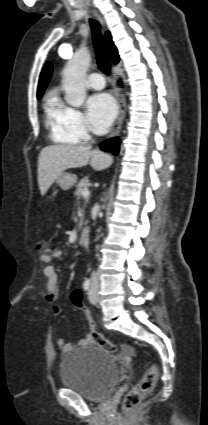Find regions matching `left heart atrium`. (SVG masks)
I'll return each mask as SVG.
<instances>
[{
  "instance_id": "left-heart-atrium-1",
  "label": "left heart atrium",
  "mask_w": 208,
  "mask_h": 425,
  "mask_svg": "<svg viewBox=\"0 0 208 425\" xmlns=\"http://www.w3.org/2000/svg\"><path fill=\"white\" fill-rule=\"evenodd\" d=\"M117 113L114 99L107 93L91 96L87 101V118L90 128L97 134L105 133Z\"/></svg>"
}]
</instances>
